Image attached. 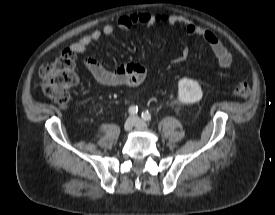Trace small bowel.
Here are the masks:
<instances>
[{
  "label": "small bowel",
  "mask_w": 275,
  "mask_h": 215,
  "mask_svg": "<svg viewBox=\"0 0 275 215\" xmlns=\"http://www.w3.org/2000/svg\"><path fill=\"white\" fill-rule=\"evenodd\" d=\"M184 25L188 35L201 37L209 46L212 54L220 68L228 69L232 65V56L222 45L216 35L195 23L172 13H135L120 17L116 25L106 24L100 29H95L91 33L84 35L77 42L71 45V50L76 53H84L87 48L103 36H110L115 29L127 30L135 26H157V25ZM187 53L184 52L179 61L184 60ZM84 67L92 74L94 79L104 86H126L134 87L140 85L147 76V69L140 63H128L121 65L116 70H108L92 57L83 59Z\"/></svg>",
  "instance_id": "small-bowel-1"
}]
</instances>
